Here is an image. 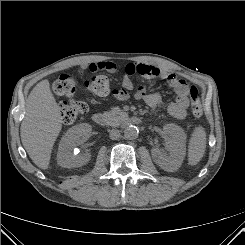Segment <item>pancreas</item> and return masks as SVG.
Returning a JSON list of instances; mask_svg holds the SVG:
<instances>
[{"mask_svg":"<svg viewBox=\"0 0 245 245\" xmlns=\"http://www.w3.org/2000/svg\"><path fill=\"white\" fill-rule=\"evenodd\" d=\"M124 116L125 112H122L118 107H112L110 111L105 113V117L109 124L118 123Z\"/></svg>","mask_w":245,"mask_h":245,"instance_id":"obj_1","label":"pancreas"}]
</instances>
